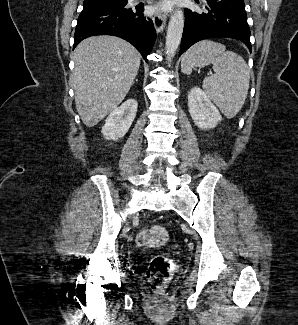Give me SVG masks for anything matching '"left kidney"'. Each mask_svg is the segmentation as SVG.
Listing matches in <instances>:
<instances>
[{
    "label": "left kidney",
    "mask_w": 298,
    "mask_h": 325,
    "mask_svg": "<svg viewBox=\"0 0 298 325\" xmlns=\"http://www.w3.org/2000/svg\"><path fill=\"white\" fill-rule=\"evenodd\" d=\"M188 110L199 128H214L222 120L217 106L199 86H193L188 92Z\"/></svg>",
    "instance_id": "obj_1"
}]
</instances>
